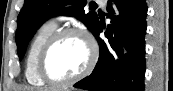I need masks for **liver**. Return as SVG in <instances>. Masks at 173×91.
<instances>
[{
  "label": "liver",
  "instance_id": "liver-1",
  "mask_svg": "<svg viewBox=\"0 0 173 91\" xmlns=\"http://www.w3.org/2000/svg\"><path fill=\"white\" fill-rule=\"evenodd\" d=\"M20 91H21V89H20ZM25 91H34V90H33V88L28 87V88H26Z\"/></svg>",
  "mask_w": 173,
  "mask_h": 91
}]
</instances>
